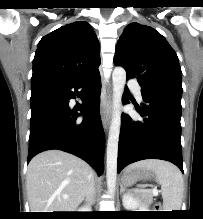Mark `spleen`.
Masks as SVG:
<instances>
[{
    "mask_svg": "<svg viewBox=\"0 0 203 219\" xmlns=\"http://www.w3.org/2000/svg\"><path fill=\"white\" fill-rule=\"evenodd\" d=\"M146 168L155 173L161 185L165 211L180 210L184 184L180 170L170 162L156 159L142 160L131 164L127 170Z\"/></svg>",
    "mask_w": 203,
    "mask_h": 219,
    "instance_id": "3e777b00",
    "label": "spleen"
}]
</instances>
